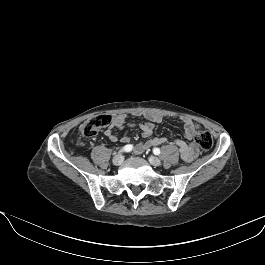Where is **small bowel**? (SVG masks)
Instances as JSON below:
<instances>
[{
    "mask_svg": "<svg viewBox=\"0 0 265 265\" xmlns=\"http://www.w3.org/2000/svg\"><path fill=\"white\" fill-rule=\"evenodd\" d=\"M133 116L143 117L146 119L145 122L139 124V127L142 130V135L145 138L144 141L138 143L134 147V152L137 154L142 153L146 149L152 146L160 145L166 142L165 137H152L155 124L160 123L162 121V116L156 112L152 111H144V110H136L132 113ZM183 124V134L186 140L189 142H185L181 139H176L174 141L175 145L178 147L181 158L185 162L193 161L199 153L198 147L192 141L194 138V133L197 129L196 123L188 118L181 117L180 118ZM134 123L128 122L126 114H117L112 117L111 124L109 128L105 131V135L113 142L119 140L117 134L114 132V129L121 130L127 126H134ZM123 143L129 142V138L124 136L120 139Z\"/></svg>",
    "mask_w": 265,
    "mask_h": 265,
    "instance_id": "obj_1",
    "label": "small bowel"
}]
</instances>
